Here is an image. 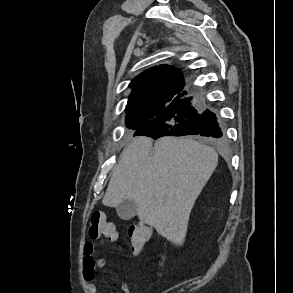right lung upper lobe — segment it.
Listing matches in <instances>:
<instances>
[{"label":"right lung upper lobe","mask_w":293,"mask_h":293,"mask_svg":"<svg viewBox=\"0 0 293 293\" xmlns=\"http://www.w3.org/2000/svg\"><path fill=\"white\" fill-rule=\"evenodd\" d=\"M184 85L182 73L172 66L160 65L145 70L130 83L133 91L126 110L145 107L157 117L182 93Z\"/></svg>","instance_id":"cb5924a9"}]
</instances>
